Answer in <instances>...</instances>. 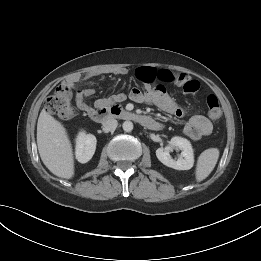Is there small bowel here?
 Masks as SVG:
<instances>
[{
  "mask_svg": "<svg viewBox=\"0 0 261 261\" xmlns=\"http://www.w3.org/2000/svg\"><path fill=\"white\" fill-rule=\"evenodd\" d=\"M113 75H124L126 70L123 68L112 69L107 71ZM96 75L95 72L87 73L80 77H74L71 81L72 84H81L88 81ZM137 76L142 81L146 82V87L144 90L139 88H133L130 92V98L136 102H150L157 105L160 109L173 114L177 117H182L185 114V111L179 107L165 92L163 87L152 88L150 83L156 78L160 79L163 82L174 83L182 87L183 91L186 94L193 95L199 89V82L189 75L176 71H156L153 68L143 67L137 70ZM94 93L93 89L89 87H77L76 89V103L80 110L91 113L92 108L86 102V99ZM125 99L123 94L113 95L109 99H99L98 104H103L107 101L121 102ZM212 132V123L211 121L203 115H194L192 116L183 128V133L192 140H200L204 137H207Z\"/></svg>",
  "mask_w": 261,
  "mask_h": 261,
  "instance_id": "1",
  "label": "small bowel"
}]
</instances>
